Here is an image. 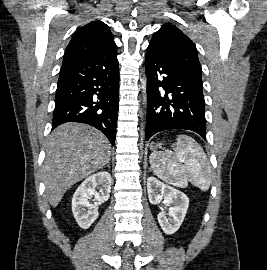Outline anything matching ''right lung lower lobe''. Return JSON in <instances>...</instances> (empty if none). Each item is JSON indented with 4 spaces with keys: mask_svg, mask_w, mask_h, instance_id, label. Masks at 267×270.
<instances>
[{
    "mask_svg": "<svg viewBox=\"0 0 267 270\" xmlns=\"http://www.w3.org/2000/svg\"><path fill=\"white\" fill-rule=\"evenodd\" d=\"M119 103L116 47L63 64L55 96L52 130L81 122L102 131L115 144Z\"/></svg>",
    "mask_w": 267,
    "mask_h": 270,
    "instance_id": "1",
    "label": "right lung lower lobe"
}]
</instances>
